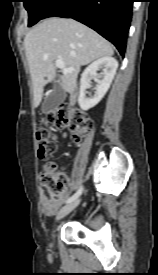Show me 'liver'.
Wrapping results in <instances>:
<instances>
[{
    "label": "liver",
    "instance_id": "1",
    "mask_svg": "<svg viewBox=\"0 0 158 275\" xmlns=\"http://www.w3.org/2000/svg\"><path fill=\"white\" fill-rule=\"evenodd\" d=\"M26 57L33 83V102L38 107L43 88L56 76L55 61L60 59L71 72L59 76L61 86L71 93L81 66L102 57H111L112 45L98 33L73 19H45L24 38Z\"/></svg>",
    "mask_w": 158,
    "mask_h": 275
}]
</instances>
